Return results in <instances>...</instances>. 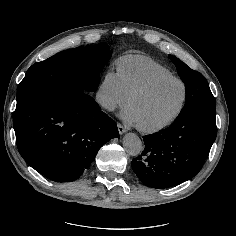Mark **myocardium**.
I'll use <instances>...</instances> for the list:
<instances>
[{"label":"myocardium","mask_w":236,"mask_h":236,"mask_svg":"<svg viewBox=\"0 0 236 236\" xmlns=\"http://www.w3.org/2000/svg\"><path fill=\"white\" fill-rule=\"evenodd\" d=\"M167 81H177V82L181 83L183 86V97H182V101H181L179 108L176 110V112L170 118H168L167 120H165L157 125H154L151 127H145V126H142V125L136 123V127L139 131L146 133V134H154V133L160 132V131L168 128L169 126H171L183 113L186 103H187V100H188V86H187L186 82L181 77L175 76V75L157 77V78L151 80L150 82H148L147 84H145L144 86H142L141 88L137 89L129 96L128 106L130 107L131 103L135 99L146 95L151 90H153L155 87H157L158 85H160L164 82H167Z\"/></svg>","instance_id":"f54148a6"}]
</instances>
